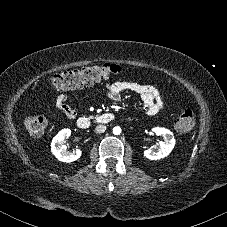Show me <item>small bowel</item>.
I'll return each mask as SVG.
<instances>
[{
    "label": "small bowel",
    "instance_id": "obj_1",
    "mask_svg": "<svg viewBox=\"0 0 227 227\" xmlns=\"http://www.w3.org/2000/svg\"><path fill=\"white\" fill-rule=\"evenodd\" d=\"M128 91L134 92L140 97L143 108L148 115L157 114L163 107L160 92L155 86L123 81L112 82L106 85V95L114 101H118L122 94ZM80 94V92H74L71 96L62 94L56 98L54 105L68 118H74L76 109L71 104V99H75Z\"/></svg>",
    "mask_w": 227,
    "mask_h": 227
}]
</instances>
